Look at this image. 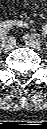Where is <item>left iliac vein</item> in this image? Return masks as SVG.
Listing matches in <instances>:
<instances>
[{
  "instance_id": "left-iliac-vein-1",
  "label": "left iliac vein",
  "mask_w": 47,
  "mask_h": 129,
  "mask_svg": "<svg viewBox=\"0 0 47 129\" xmlns=\"http://www.w3.org/2000/svg\"><path fill=\"white\" fill-rule=\"evenodd\" d=\"M25 43L34 49H40L41 40L38 34H25L23 36Z\"/></svg>"
}]
</instances>
